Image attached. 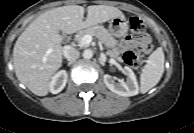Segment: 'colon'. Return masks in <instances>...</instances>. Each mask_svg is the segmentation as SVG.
Masks as SVG:
<instances>
[{
	"label": "colon",
	"mask_w": 194,
	"mask_h": 133,
	"mask_svg": "<svg viewBox=\"0 0 194 133\" xmlns=\"http://www.w3.org/2000/svg\"><path fill=\"white\" fill-rule=\"evenodd\" d=\"M130 28L134 34H142L145 31L144 23L138 17L130 18ZM144 59V52L140 47L129 50L124 54V61L133 68H138Z\"/></svg>",
	"instance_id": "5ec220e1"
}]
</instances>
